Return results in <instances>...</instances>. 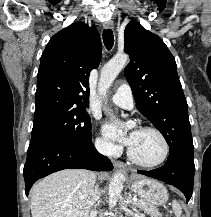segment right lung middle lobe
Listing matches in <instances>:
<instances>
[{
  "label": "right lung middle lobe",
  "instance_id": "right-lung-middle-lobe-1",
  "mask_svg": "<svg viewBox=\"0 0 211 217\" xmlns=\"http://www.w3.org/2000/svg\"><path fill=\"white\" fill-rule=\"evenodd\" d=\"M53 137L76 145L92 143L90 118L85 110L51 112L34 118L32 137Z\"/></svg>",
  "mask_w": 211,
  "mask_h": 217
}]
</instances>
